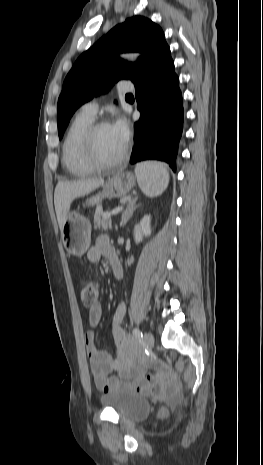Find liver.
I'll list each match as a JSON object with an SVG mask.
<instances>
[{"label": "liver", "mask_w": 263, "mask_h": 465, "mask_svg": "<svg viewBox=\"0 0 263 465\" xmlns=\"http://www.w3.org/2000/svg\"><path fill=\"white\" fill-rule=\"evenodd\" d=\"M104 184V179H84L77 181H61L56 185L54 205L60 230L69 213L71 203L80 196H85Z\"/></svg>", "instance_id": "1"}]
</instances>
